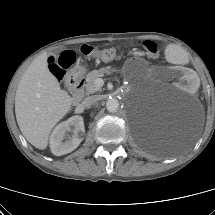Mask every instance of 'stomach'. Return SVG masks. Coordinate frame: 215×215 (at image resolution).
Masks as SVG:
<instances>
[{
	"label": "stomach",
	"mask_w": 215,
	"mask_h": 215,
	"mask_svg": "<svg viewBox=\"0 0 215 215\" xmlns=\"http://www.w3.org/2000/svg\"><path fill=\"white\" fill-rule=\"evenodd\" d=\"M80 69H81V70H84V68H83V67H80Z\"/></svg>",
	"instance_id": "obj_1"
}]
</instances>
